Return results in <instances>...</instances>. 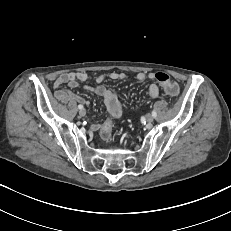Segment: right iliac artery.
<instances>
[{
  "mask_svg": "<svg viewBox=\"0 0 231 231\" xmlns=\"http://www.w3.org/2000/svg\"><path fill=\"white\" fill-rule=\"evenodd\" d=\"M78 108H79V109H83V105H81V104L78 105Z\"/></svg>",
  "mask_w": 231,
  "mask_h": 231,
  "instance_id": "obj_1",
  "label": "right iliac artery"
}]
</instances>
